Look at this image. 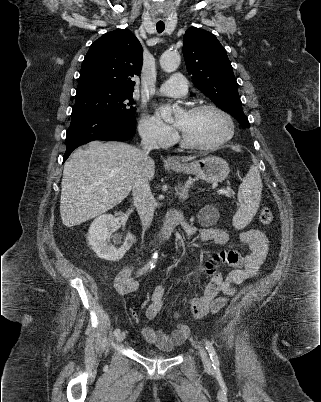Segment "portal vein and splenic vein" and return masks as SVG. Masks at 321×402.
I'll return each instance as SVG.
<instances>
[{
    "mask_svg": "<svg viewBox=\"0 0 321 402\" xmlns=\"http://www.w3.org/2000/svg\"><path fill=\"white\" fill-rule=\"evenodd\" d=\"M218 194H223V195H225V196H227V197H230V196H231L230 190L224 189V188L219 189V190H218Z\"/></svg>",
    "mask_w": 321,
    "mask_h": 402,
    "instance_id": "obj_1",
    "label": "portal vein and splenic vein"
}]
</instances>
